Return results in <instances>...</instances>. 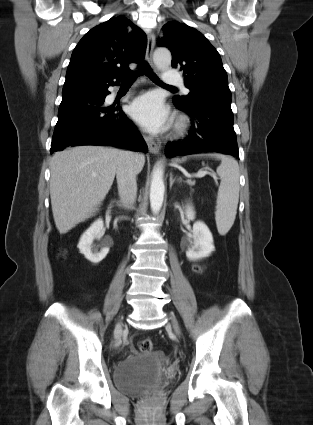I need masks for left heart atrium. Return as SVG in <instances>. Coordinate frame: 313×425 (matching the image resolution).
Segmentation results:
<instances>
[{"label": "left heart atrium", "instance_id": "39dd6f15", "mask_svg": "<svg viewBox=\"0 0 313 425\" xmlns=\"http://www.w3.org/2000/svg\"><path fill=\"white\" fill-rule=\"evenodd\" d=\"M130 115L150 131L164 129L169 122V113L161 97L155 93L144 94L134 100Z\"/></svg>", "mask_w": 313, "mask_h": 425}]
</instances>
